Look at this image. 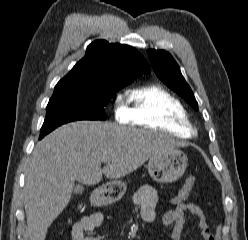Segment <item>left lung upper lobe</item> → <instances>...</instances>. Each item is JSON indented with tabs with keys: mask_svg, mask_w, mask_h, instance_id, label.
I'll use <instances>...</instances> for the list:
<instances>
[{
	"mask_svg": "<svg viewBox=\"0 0 248 240\" xmlns=\"http://www.w3.org/2000/svg\"><path fill=\"white\" fill-rule=\"evenodd\" d=\"M147 53L158 78L183 97L195 110H198V103L194 94L171 54L164 50L157 51L155 49H149Z\"/></svg>",
	"mask_w": 248,
	"mask_h": 240,
	"instance_id": "left-lung-upper-lobe-1",
	"label": "left lung upper lobe"
}]
</instances>
